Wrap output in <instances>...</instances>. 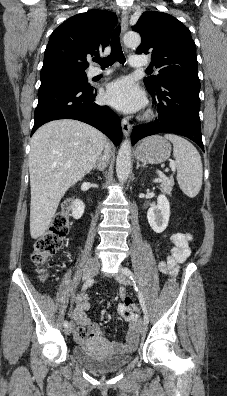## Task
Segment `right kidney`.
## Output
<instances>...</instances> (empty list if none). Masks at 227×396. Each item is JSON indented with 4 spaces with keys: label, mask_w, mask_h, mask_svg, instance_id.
Instances as JSON below:
<instances>
[{
    "label": "right kidney",
    "mask_w": 227,
    "mask_h": 396,
    "mask_svg": "<svg viewBox=\"0 0 227 396\" xmlns=\"http://www.w3.org/2000/svg\"><path fill=\"white\" fill-rule=\"evenodd\" d=\"M84 209H85L84 203L81 200L76 199L72 203V216L75 219H80L84 213Z\"/></svg>",
    "instance_id": "right-kidney-1"
}]
</instances>
